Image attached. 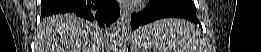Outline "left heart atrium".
I'll use <instances>...</instances> for the list:
<instances>
[{"label": "left heart atrium", "mask_w": 261, "mask_h": 52, "mask_svg": "<svg viewBox=\"0 0 261 52\" xmlns=\"http://www.w3.org/2000/svg\"><path fill=\"white\" fill-rule=\"evenodd\" d=\"M143 1L141 0H122L121 3L125 6V7H132L135 6L137 4H141Z\"/></svg>", "instance_id": "left-heart-atrium-1"}]
</instances>
